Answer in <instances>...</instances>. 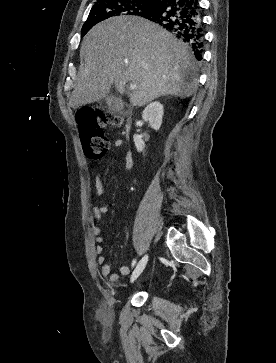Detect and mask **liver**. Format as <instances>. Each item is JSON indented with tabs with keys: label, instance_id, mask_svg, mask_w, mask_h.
Instances as JSON below:
<instances>
[{
	"label": "liver",
	"instance_id": "6515ba94",
	"mask_svg": "<svg viewBox=\"0 0 276 363\" xmlns=\"http://www.w3.org/2000/svg\"><path fill=\"white\" fill-rule=\"evenodd\" d=\"M85 61L70 106L77 108L105 98L114 84L120 94L128 83L133 106L197 91V67L189 47L157 24L135 16H119L94 26L84 37Z\"/></svg>",
	"mask_w": 276,
	"mask_h": 363
}]
</instances>
